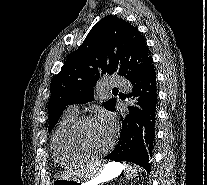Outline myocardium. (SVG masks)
Returning a JSON list of instances; mask_svg holds the SVG:
<instances>
[{
  "label": "myocardium",
  "instance_id": "myocardium-1",
  "mask_svg": "<svg viewBox=\"0 0 207 185\" xmlns=\"http://www.w3.org/2000/svg\"><path fill=\"white\" fill-rule=\"evenodd\" d=\"M95 117L92 115H88V116H83L81 118H78L74 124L72 125L69 134H68V142L69 145L71 146V148L80 154L89 156V157H103L105 155H107L109 153V151L112 149V147L115 144L116 141V132L112 131V137H111V142L110 145L108 146V148H106L105 150L102 151H92L90 149H88L80 140V131L82 129V127L94 120Z\"/></svg>",
  "mask_w": 207,
  "mask_h": 185
}]
</instances>
